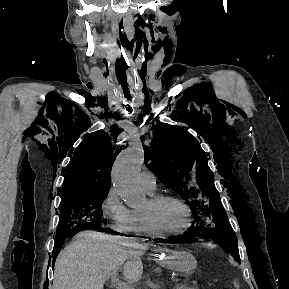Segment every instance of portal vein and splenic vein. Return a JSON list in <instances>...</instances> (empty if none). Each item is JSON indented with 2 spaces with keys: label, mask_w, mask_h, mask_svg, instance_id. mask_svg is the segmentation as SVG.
<instances>
[{
  "label": "portal vein and splenic vein",
  "mask_w": 289,
  "mask_h": 289,
  "mask_svg": "<svg viewBox=\"0 0 289 289\" xmlns=\"http://www.w3.org/2000/svg\"><path fill=\"white\" fill-rule=\"evenodd\" d=\"M113 284L116 286V289H133L125 282H122L117 277V269L113 270L110 274ZM175 289H180V286H177Z\"/></svg>",
  "instance_id": "18ae733b"
}]
</instances>
